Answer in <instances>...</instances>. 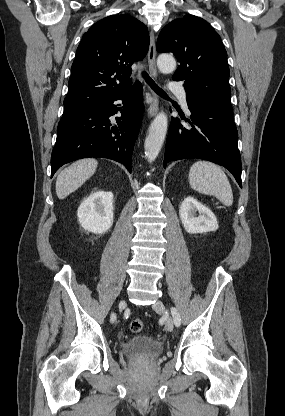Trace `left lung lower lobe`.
Masks as SVG:
<instances>
[{
    "instance_id": "1",
    "label": "left lung lower lobe",
    "mask_w": 285,
    "mask_h": 416,
    "mask_svg": "<svg viewBox=\"0 0 285 416\" xmlns=\"http://www.w3.org/2000/svg\"><path fill=\"white\" fill-rule=\"evenodd\" d=\"M192 128H184L172 119L166 141L164 168L169 161L199 158L227 168L241 184V156L232 109L189 103Z\"/></svg>"
}]
</instances>
